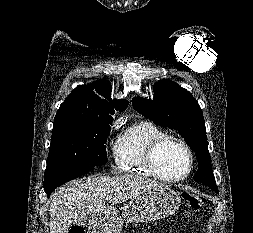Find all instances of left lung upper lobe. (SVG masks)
I'll use <instances>...</instances> for the list:
<instances>
[{
	"label": "left lung upper lobe",
	"mask_w": 253,
	"mask_h": 233,
	"mask_svg": "<svg viewBox=\"0 0 253 233\" xmlns=\"http://www.w3.org/2000/svg\"><path fill=\"white\" fill-rule=\"evenodd\" d=\"M154 99L133 98L135 110L154 123L177 130L196 152L199 168L194 180L217 187L208 152L203 112L197 100L186 89L171 80L154 84Z\"/></svg>",
	"instance_id": "left-lung-upper-lobe-1"
}]
</instances>
